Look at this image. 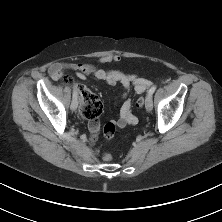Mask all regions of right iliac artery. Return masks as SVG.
I'll return each mask as SVG.
<instances>
[{"instance_id":"obj_1","label":"right iliac artery","mask_w":222,"mask_h":222,"mask_svg":"<svg viewBox=\"0 0 222 222\" xmlns=\"http://www.w3.org/2000/svg\"><path fill=\"white\" fill-rule=\"evenodd\" d=\"M77 91L74 89L73 90V100L76 99L77 100Z\"/></svg>"}]
</instances>
